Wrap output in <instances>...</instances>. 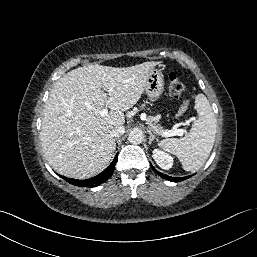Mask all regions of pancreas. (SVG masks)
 <instances>
[{"label": "pancreas", "mask_w": 257, "mask_h": 257, "mask_svg": "<svg viewBox=\"0 0 257 257\" xmlns=\"http://www.w3.org/2000/svg\"><path fill=\"white\" fill-rule=\"evenodd\" d=\"M144 107V105L142 106ZM159 118L158 117H153V116H149L147 119H146V122H147V125L148 127L155 133L157 134H160L163 133L165 130L160 126V125H156L154 124V122L156 120H158Z\"/></svg>", "instance_id": "1"}]
</instances>
